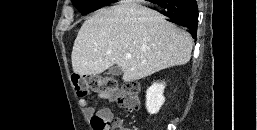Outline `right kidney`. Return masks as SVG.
I'll list each match as a JSON object with an SVG mask.
<instances>
[{
  "mask_svg": "<svg viewBox=\"0 0 257 130\" xmlns=\"http://www.w3.org/2000/svg\"><path fill=\"white\" fill-rule=\"evenodd\" d=\"M165 83L154 82L146 91V108L150 114L159 112L165 102L163 95Z\"/></svg>",
  "mask_w": 257,
  "mask_h": 130,
  "instance_id": "ca27d5eb",
  "label": "right kidney"
}]
</instances>
